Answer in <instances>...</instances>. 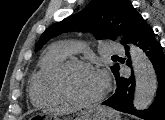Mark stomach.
Here are the masks:
<instances>
[{
    "label": "stomach",
    "mask_w": 165,
    "mask_h": 120,
    "mask_svg": "<svg viewBox=\"0 0 165 120\" xmlns=\"http://www.w3.org/2000/svg\"><path fill=\"white\" fill-rule=\"evenodd\" d=\"M44 117L46 120H120V116L116 111L109 107L99 105L77 108L71 111H48L38 113L30 117L31 119H41Z\"/></svg>",
    "instance_id": "stomach-1"
}]
</instances>
